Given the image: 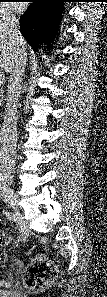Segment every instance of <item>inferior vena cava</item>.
<instances>
[{"mask_svg": "<svg viewBox=\"0 0 107 297\" xmlns=\"http://www.w3.org/2000/svg\"><path fill=\"white\" fill-rule=\"evenodd\" d=\"M0 33L8 36L16 46L15 65L10 72L8 84V96L4 122L0 134L1 167L4 174L10 176L15 166L18 100L21 94V83L27 62L24 39L19 31V20L10 14H4L0 20Z\"/></svg>", "mask_w": 107, "mask_h": 297, "instance_id": "602c4592", "label": "inferior vena cava"}]
</instances>
